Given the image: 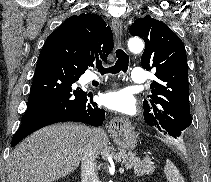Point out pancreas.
I'll return each instance as SVG.
<instances>
[{"label":"pancreas","mask_w":211,"mask_h":182,"mask_svg":"<svg viewBox=\"0 0 211 182\" xmlns=\"http://www.w3.org/2000/svg\"><path fill=\"white\" fill-rule=\"evenodd\" d=\"M105 157L111 156L115 162L124 164L127 169H134L136 176L149 175L154 171V166L146 161H141L135 153L119 148H108L105 151Z\"/></svg>","instance_id":"obj_1"}]
</instances>
